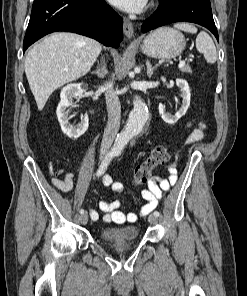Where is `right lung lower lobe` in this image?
I'll list each match as a JSON object with an SVG mask.
<instances>
[{
  "label": "right lung lower lobe",
  "mask_w": 247,
  "mask_h": 296,
  "mask_svg": "<svg viewBox=\"0 0 247 296\" xmlns=\"http://www.w3.org/2000/svg\"><path fill=\"white\" fill-rule=\"evenodd\" d=\"M123 20L104 0H34L23 52L41 37L68 31L117 48L123 39Z\"/></svg>",
  "instance_id": "right-lung-lower-lobe-1"
}]
</instances>
